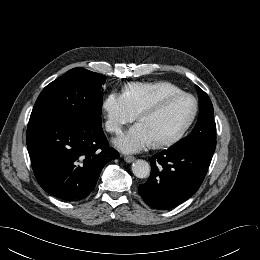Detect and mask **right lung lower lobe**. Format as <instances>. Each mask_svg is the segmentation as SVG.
Returning <instances> with one entry per match:
<instances>
[{
  "mask_svg": "<svg viewBox=\"0 0 260 260\" xmlns=\"http://www.w3.org/2000/svg\"><path fill=\"white\" fill-rule=\"evenodd\" d=\"M26 141L38 183L65 201L89 196L103 166L119 157L116 150L107 146L102 124L76 117H32Z\"/></svg>",
  "mask_w": 260,
  "mask_h": 260,
  "instance_id": "1",
  "label": "right lung lower lobe"
}]
</instances>
